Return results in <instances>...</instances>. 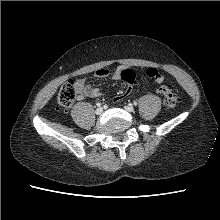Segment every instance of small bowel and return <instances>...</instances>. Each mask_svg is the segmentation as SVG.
I'll return each instance as SVG.
<instances>
[{"instance_id": "small-bowel-1", "label": "small bowel", "mask_w": 220, "mask_h": 220, "mask_svg": "<svg viewBox=\"0 0 220 220\" xmlns=\"http://www.w3.org/2000/svg\"><path fill=\"white\" fill-rule=\"evenodd\" d=\"M121 71H122L121 68H117L112 74L113 79L119 80L121 78ZM108 73H109L108 70L101 68V69H98L95 72L94 76L96 78H104L108 75ZM76 86H77V89H78L80 99H82L84 97L95 98V97H98L101 94V92L98 88L93 87L85 79H78L76 81ZM128 95L129 94L125 95V94L121 93L115 100L116 101H121V100L125 99Z\"/></svg>"}]
</instances>
